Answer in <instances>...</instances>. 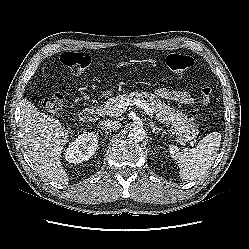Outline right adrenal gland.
<instances>
[{"label": "right adrenal gland", "instance_id": "2a0ac1e0", "mask_svg": "<svg viewBox=\"0 0 249 249\" xmlns=\"http://www.w3.org/2000/svg\"><path fill=\"white\" fill-rule=\"evenodd\" d=\"M102 131L104 130L102 127L98 126ZM109 132L105 130V134H108Z\"/></svg>", "mask_w": 249, "mask_h": 249}]
</instances>
